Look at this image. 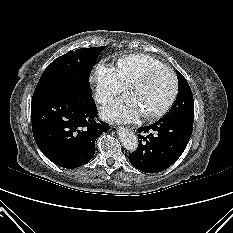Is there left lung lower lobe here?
<instances>
[{
    "instance_id": "left-lung-lower-lobe-1",
    "label": "left lung lower lobe",
    "mask_w": 233,
    "mask_h": 233,
    "mask_svg": "<svg viewBox=\"0 0 233 233\" xmlns=\"http://www.w3.org/2000/svg\"><path fill=\"white\" fill-rule=\"evenodd\" d=\"M192 129L193 124L165 116L150 126L139 128L138 148L129 154V161L146 173L167 169L184 152ZM142 133L148 135L144 137Z\"/></svg>"
}]
</instances>
